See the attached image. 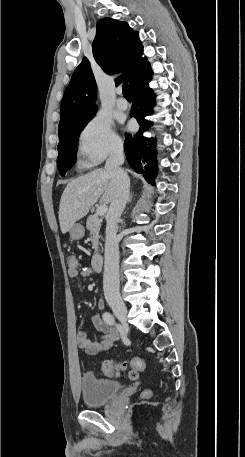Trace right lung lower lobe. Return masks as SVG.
<instances>
[{
	"instance_id": "1",
	"label": "right lung lower lobe",
	"mask_w": 245,
	"mask_h": 457,
	"mask_svg": "<svg viewBox=\"0 0 245 457\" xmlns=\"http://www.w3.org/2000/svg\"><path fill=\"white\" fill-rule=\"evenodd\" d=\"M152 75L153 72L131 87L133 105L130 116L137 119L140 128L134 135L126 134L124 150L129 165L136 172L143 174L149 183L154 184L157 173L155 140L143 136L144 131L150 128V123L145 117L150 114L154 106L155 95L148 87Z\"/></svg>"
}]
</instances>
